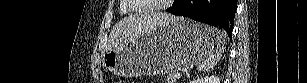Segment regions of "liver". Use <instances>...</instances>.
I'll list each match as a JSON object with an SVG mask.
<instances>
[{
	"mask_svg": "<svg viewBox=\"0 0 307 83\" xmlns=\"http://www.w3.org/2000/svg\"><path fill=\"white\" fill-rule=\"evenodd\" d=\"M175 16L165 13H151L134 15L121 20L111 33L112 46H118L131 41L149 30H152L169 21H174Z\"/></svg>",
	"mask_w": 307,
	"mask_h": 83,
	"instance_id": "obj_1",
	"label": "liver"
}]
</instances>
